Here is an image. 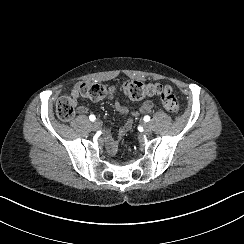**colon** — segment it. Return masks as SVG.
<instances>
[{
	"mask_svg": "<svg viewBox=\"0 0 244 244\" xmlns=\"http://www.w3.org/2000/svg\"><path fill=\"white\" fill-rule=\"evenodd\" d=\"M121 90L132 100H142L147 97L157 96L161 98L165 110L176 115L180 105L171 87L156 83H143L137 80H128L122 83ZM79 94L91 101L103 99L113 93L109 85L101 82L82 83L78 90ZM77 96L67 94L62 96L56 105V113L61 120H71L76 112Z\"/></svg>",
	"mask_w": 244,
	"mask_h": 244,
	"instance_id": "obj_1",
	"label": "colon"
}]
</instances>
